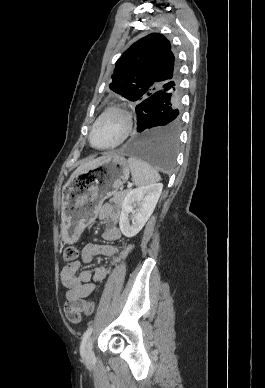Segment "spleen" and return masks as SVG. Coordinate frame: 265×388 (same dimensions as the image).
<instances>
[{
    "label": "spleen",
    "mask_w": 265,
    "mask_h": 388,
    "mask_svg": "<svg viewBox=\"0 0 265 388\" xmlns=\"http://www.w3.org/2000/svg\"><path fill=\"white\" fill-rule=\"evenodd\" d=\"M128 164L130 166L133 182L136 186H149V184H155V182H160L161 178L154 170L151 168L150 164L144 162V160H138V158H128Z\"/></svg>",
    "instance_id": "3e777b00"
}]
</instances>
